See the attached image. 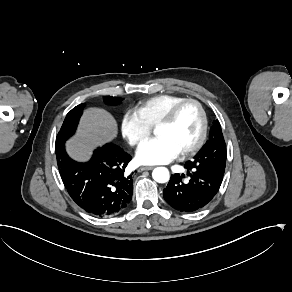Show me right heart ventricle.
Returning a JSON list of instances; mask_svg holds the SVG:
<instances>
[{
    "mask_svg": "<svg viewBox=\"0 0 292 292\" xmlns=\"http://www.w3.org/2000/svg\"><path fill=\"white\" fill-rule=\"evenodd\" d=\"M186 97L167 93L158 94L139 101L134 110L140 115L144 122L151 128L154 127L157 119L174 103Z\"/></svg>",
    "mask_w": 292,
    "mask_h": 292,
    "instance_id": "1",
    "label": "right heart ventricle"
}]
</instances>
